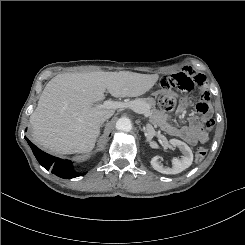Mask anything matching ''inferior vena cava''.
Here are the masks:
<instances>
[{"label":"inferior vena cava","mask_w":245,"mask_h":245,"mask_svg":"<svg viewBox=\"0 0 245 245\" xmlns=\"http://www.w3.org/2000/svg\"><path fill=\"white\" fill-rule=\"evenodd\" d=\"M112 116V114H107L102 118V122H104L106 119H109Z\"/></svg>","instance_id":"602c4592"}]
</instances>
